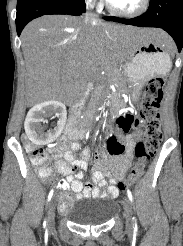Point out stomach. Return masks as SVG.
<instances>
[{
    "instance_id": "stomach-1",
    "label": "stomach",
    "mask_w": 183,
    "mask_h": 246,
    "mask_svg": "<svg viewBox=\"0 0 183 246\" xmlns=\"http://www.w3.org/2000/svg\"><path fill=\"white\" fill-rule=\"evenodd\" d=\"M156 41H132L126 49L123 74L127 81L141 85L154 75L167 73L171 63L169 53ZM146 62H133V61Z\"/></svg>"
}]
</instances>
